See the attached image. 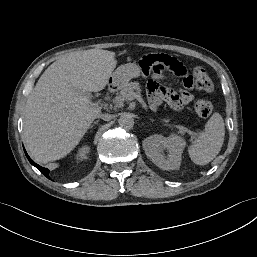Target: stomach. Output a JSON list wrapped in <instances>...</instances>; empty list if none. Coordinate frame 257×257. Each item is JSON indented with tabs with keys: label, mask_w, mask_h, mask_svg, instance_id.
Wrapping results in <instances>:
<instances>
[{
	"label": "stomach",
	"mask_w": 257,
	"mask_h": 257,
	"mask_svg": "<svg viewBox=\"0 0 257 257\" xmlns=\"http://www.w3.org/2000/svg\"><path fill=\"white\" fill-rule=\"evenodd\" d=\"M140 75L134 70V63H128L119 66L112 74L111 79L114 84L119 87L127 84L131 79L137 78Z\"/></svg>",
	"instance_id": "1"
}]
</instances>
